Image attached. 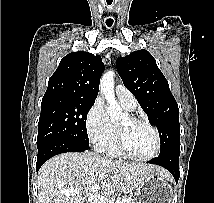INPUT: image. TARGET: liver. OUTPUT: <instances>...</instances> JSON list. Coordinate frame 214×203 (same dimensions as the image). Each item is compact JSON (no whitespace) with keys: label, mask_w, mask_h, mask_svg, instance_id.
I'll return each mask as SVG.
<instances>
[{"label":"liver","mask_w":214,"mask_h":203,"mask_svg":"<svg viewBox=\"0 0 214 203\" xmlns=\"http://www.w3.org/2000/svg\"><path fill=\"white\" fill-rule=\"evenodd\" d=\"M152 172L167 176L160 167L111 160L95 152L63 153L48 160L39 170V203H84L81 194L94 185H100L105 196L115 191L126 194L137 190ZM66 189L79 190L80 194H63Z\"/></svg>","instance_id":"1"}]
</instances>
